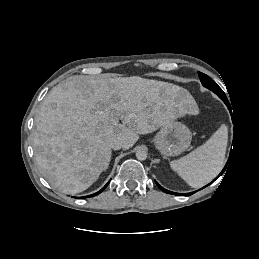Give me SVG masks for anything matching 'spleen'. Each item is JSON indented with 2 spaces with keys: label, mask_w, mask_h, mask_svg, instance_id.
I'll use <instances>...</instances> for the list:
<instances>
[{
  "label": "spleen",
  "mask_w": 259,
  "mask_h": 259,
  "mask_svg": "<svg viewBox=\"0 0 259 259\" xmlns=\"http://www.w3.org/2000/svg\"><path fill=\"white\" fill-rule=\"evenodd\" d=\"M228 143V128H220L201 146L188 155L171 161V168L191 187L210 182L223 168Z\"/></svg>",
  "instance_id": "1"
}]
</instances>
